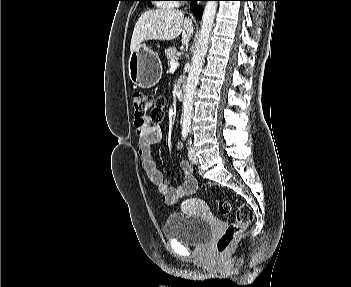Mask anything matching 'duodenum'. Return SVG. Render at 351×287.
Segmentation results:
<instances>
[{
    "label": "duodenum",
    "instance_id": "410a0bca",
    "mask_svg": "<svg viewBox=\"0 0 351 287\" xmlns=\"http://www.w3.org/2000/svg\"><path fill=\"white\" fill-rule=\"evenodd\" d=\"M176 95H177L178 100H182V99H183L184 93H183L182 87H179V88L177 89Z\"/></svg>",
    "mask_w": 351,
    "mask_h": 287
}]
</instances>
